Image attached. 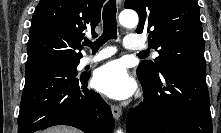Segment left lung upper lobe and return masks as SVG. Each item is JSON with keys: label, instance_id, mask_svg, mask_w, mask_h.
<instances>
[{"label": "left lung upper lobe", "instance_id": "left-lung-upper-lobe-1", "mask_svg": "<svg viewBox=\"0 0 221 133\" xmlns=\"http://www.w3.org/2000/svg\"><path fill=\"white\" fill-rule=\"evenodd\" d=\"M125 8L138 13L136 32H147L149 44L159 53L154 63H140L137 70L143 75L157 76L174 63L206 68L197 0H126Z\"/></svg>", "mask_w": 221, "mask_h": 133}]
</instances>
